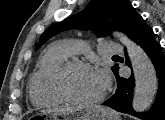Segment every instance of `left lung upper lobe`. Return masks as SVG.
<instances>
[{
  "label": "left lung upper lobe",
  "mask_w": 165,
  "mask_h": 120,
  "mask_svg": "<svg viewBox=\"0 0 165 120\" xmlns=\"http://www.w3.org/2000/svg\"><path fill=\"white\" fill-rule=\"evenodd\" d=\"M140 17L128 0H92L81 12L47 28L37 48L58 32L72 28L90 29L98 36L118 29L130 36ZM117 67H112L115 77Z\"/></svg>",
  "instance_id": "1"
}]
</instances>
